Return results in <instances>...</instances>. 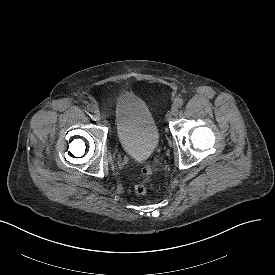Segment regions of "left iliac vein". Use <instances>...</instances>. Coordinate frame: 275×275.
<instances>
[{"instance_id": "4c4485c4", "label": "left iliac vein", "mask_w": 275, "mask_h": 275, "mask_svg": "<svg viewBox=\"0 0 275 275\" xmlns=\"http://www.w3.org/2000/svg\"><path fill=\"white\" fill-rule=\"evenodd\" d=\"M179 112L178 106L176 104H174L171 108V115L172 116H177Z\"/></svg>"}]
</instances>
